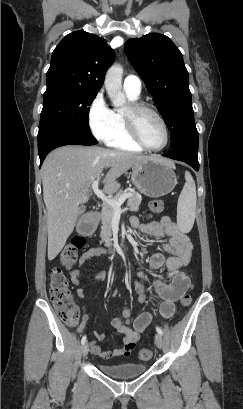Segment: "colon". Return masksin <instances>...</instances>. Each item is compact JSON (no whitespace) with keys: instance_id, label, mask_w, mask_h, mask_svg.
Here are the masks:
<instances>
[{"instance_id":"5ec220e1","label":"colon","mask_w":243,"mask_h":409,"mask_svg":"<svg viewBox=\"0 0 243 409\" xmlns=\"http://www.w3.org/2000/svg\"><path fill=\"white\" fill-rule=\"evenodd\" d=\"M150 209L154 213L162 212L163 202L161 200H152ZM85 242L83 236H74L71 239L70 243L63 248L59 255L62 266L70 268L75 263L77 252L84 248ZM49 295L58 318L69 326H75L79 321L80 313L71 298L67 278L59 267L52 268L49 272ZM191 302L192 299L189 294H185L180 300L182 307L190 306ZM139 357L142 360H149L151 351L147 348L141 349Z\"/></svg>"}]
</instances>
